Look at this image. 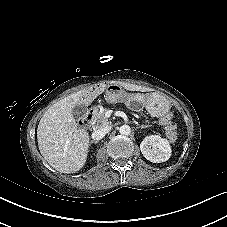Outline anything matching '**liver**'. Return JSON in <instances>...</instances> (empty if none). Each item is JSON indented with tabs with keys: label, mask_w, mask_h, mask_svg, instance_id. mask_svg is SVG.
<instances>
[{
	"label": "liver",
	"mask_w": 227,
	"mask_h": 227,
	"mask_svg": "<svg viewBox=\"0 0 227 227\" xmlns=\"http://www.w3.org/2000/svg\"><path fill=\"white\" fill-rule=\"evenodd\" d=\"M129 91H145L132 84L123 85ZM87 90H81L61 99L42 116L37 128L38 147L43 158L61 173H75L88 156L89 134L79 128L73 109L82 104Z\"/></svg>",
	"instance_id": "liver-1"
}]
</instances>
